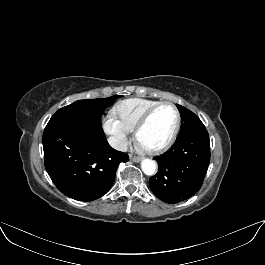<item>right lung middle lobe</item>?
Wrapping results in <instances>:
<instances>
[{
	"mask_svg": "<svg viewBox=\"0 0 265 265\" xmlns=\"http://www.w3.org/2000/svg\"><path fill=\"white\" fill-rule=\"evenodd\" d=\"M121 97L115 95L108 98H97L91 100H79L59 109L51 119L70 118L88 121L101 125V117L106 107L115 99Z\"/></svg>",
	"mask_w": 265,
	"mask_h": 265,
	"instance_id": "obj_1",
	"label": "right lung middle lobe"
}]
</instances>
